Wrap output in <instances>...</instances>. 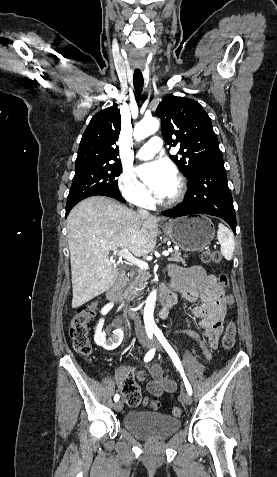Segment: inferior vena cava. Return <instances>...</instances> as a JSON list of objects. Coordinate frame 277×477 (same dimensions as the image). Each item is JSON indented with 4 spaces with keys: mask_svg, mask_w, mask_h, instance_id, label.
I'll return each mask as SVG.
<instances>
[{
    "mask_svg": "<svg viewBox=\"0 0 277 477\" xmlns=\"http://www.w3.org/2000/svg\"><path fill=\"white\" fill-rule=\"evenodd\" d=\"M138 214L143 216V217H148L149 216V212L145 209H139ZM135 333H136V336L138 337V339L140 341L145 339V337H146L144 327L142 325L141 320H139V319L135 321Z\"/></svg>",
    "mask_w": 277,
    "mask_h": 477,
    "instance_id": "obj_1",
    "label": "inferior vena cava"
}]
</instances>
